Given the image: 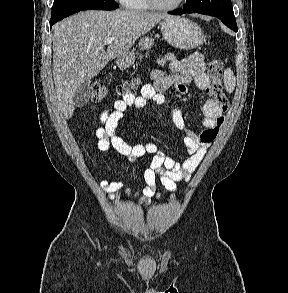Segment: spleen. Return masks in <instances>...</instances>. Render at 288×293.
<instances>
[{
  "label": "spleen",
  "mask_w": 288,
  "mask_h": 293,
  "mask_svg": "<svg viewBox=\"0 0 288 293\" xmlns=\"http://www.w3.org/2000/svg\"><path fill=\"white\" fill-rule=\"evenodd\" d=\"M236 85V78L233 71L229 68L224 72V86L227 92L232 93Z\"/></svg>",
  "instance_id": "obj_1"
}]
</instances>
